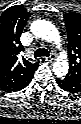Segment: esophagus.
Here are the masks:
<instances>
[{
    "label": "esophagus",
    "mask_w": 81,
    "mask_h": 124,
    "mask_svg": "<svg viewBox=\"0 0 81 124\" xmlns=\"http://www.w3.org/2000/svg\"><path fill=\"white\" fill-rule=\"evenodd\" d=\"M47 61H54L55 60V54L54 53H51L50 56L48 58H46Z\"/></svg>",
    "instance_id": "obj_1"
}]
</instances>
